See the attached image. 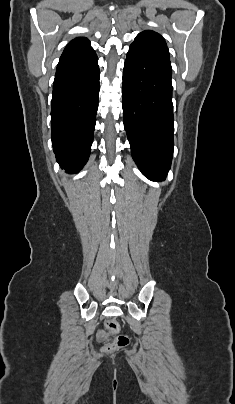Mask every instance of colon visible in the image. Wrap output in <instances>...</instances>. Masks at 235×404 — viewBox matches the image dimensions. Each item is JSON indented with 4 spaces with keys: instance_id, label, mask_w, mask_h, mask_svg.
<instances>
[{
    "instance_id": "5ec220e1",
    "label": "colon",
    "mask_w": 235,
    "mask_h": 404,
    "mask_svg": "<svg viewBox=\"0 0 235 404\" xmlns=\"http://www.w3.org/2000/svg\"><path fill=\"white\" fill-rule=\"evenodd\" d=\"M107 331H103L99 333V339L103 341H107L105 345V350L108 352H113L119 349L126 347L129 344V337L125 334H119L111 339V335L115 334L119 331V324L109 319L106 321Z\"/></svg>"
}]
</instances>
